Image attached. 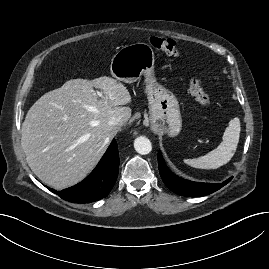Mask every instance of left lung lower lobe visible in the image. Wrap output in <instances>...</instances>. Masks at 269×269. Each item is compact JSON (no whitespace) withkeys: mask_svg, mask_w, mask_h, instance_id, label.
Masks as SVG:
<instances>
[{"mask_svg":"<svg viewBox=\"0 0 269 269\" xmlns=\"http://www.w3.org/2000/svg\"><path fill=\"white\" fill-rule=\"evenodd\" d=\"M160 176L166 186L176 194L188 197H199L211 194L231 181L232 177L222 183H201L180 178L166 166L162 154L158 153Z\"/></svg>","mask_w":269,"mask_h":269,"instance_id":"0a47b994","label":"left lung lower lobe"}]
</instances>
